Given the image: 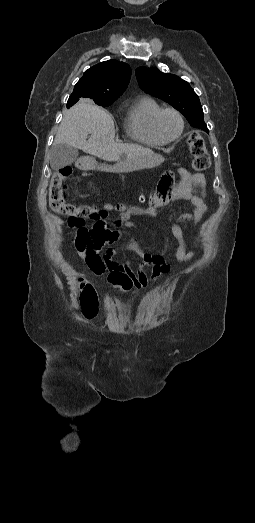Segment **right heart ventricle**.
I'll return each mask as SVG.
<instances>
[{
	"instance_id": "obj_1",
	"label": "right heart ventricle",
	"mask_w": 255,
	"mask_h": 523,
	"mask_svg": "<svg viewBox=\"0 0 255 523\" xmlns=\"http://www.w3.org/2000/svg\"><path fill=\"white\" fill-rule=\"evenodd\" d=\"M162 107L153 96H144L137 100L128 112L125 119V131L132 141L146 145H162L154 134L151 121L154 114Z\"/></svg>"
}]
</instances>
